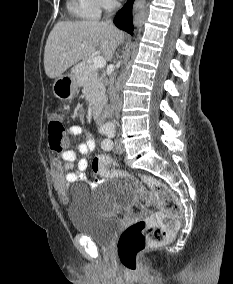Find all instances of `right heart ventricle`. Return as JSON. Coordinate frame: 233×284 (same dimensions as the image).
Returning a JSON list of instances; mask_svg holds the SVG:
<instances>
[{
    "label": "right heart ventricle",
    "instance_id": "e07e8e85",
    "mask_svg": "<svg viewBox=\"0 0 233 284\" xmlns=\"http://www.w3.org/2000/svg\"><path fill=\"white\" fill-rule=\"evenodd\" d=\"M68 9L81 19L96 20L100 17V7L96 0H70Z\"/></svg>",
    "mask_w": 233,
    "mask_h": 284
}]
</instances>
